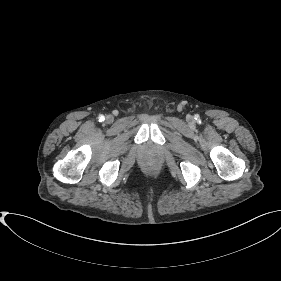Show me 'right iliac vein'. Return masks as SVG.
I'll return each mask as SVG.
<instances>
[{"instance_id": "right-iliac-vein-1", "label": "right iliac vein", "mask_w": 281, "mask_h": 281, "mask_svg": "<svg viewBox=\"0 0 281 281\" xmlns=\"http://www.w3.org/2000/svg\"><path fill=\"white\" fill-rule=\"evenodd\" d=\"M106 121H107L108 123L113 122V116L107 115V116H106Z\"/></svg>"}]
</instances>
